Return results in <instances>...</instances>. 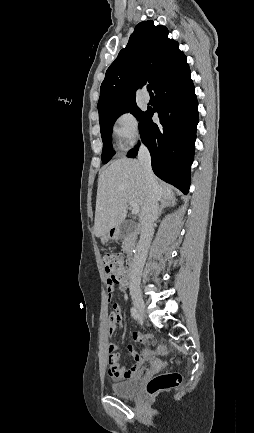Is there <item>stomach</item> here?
<instances>
[{
    "label": "stomach",
    "instance_id": "0dacf381",
    "mask_svg": "<svg viewBox=\"0 0 254 433\" xmlns=\"http://www.w3.org/2000/svg\"><path fill=\"white\" fill-rule=\"evenodd\" d=\"M109 238H110L109 235H105L101 238V240H102V242H107Z\"/></svg>",
    "mask_w": 254,
    "mask_h": 433
}]
</instances>
